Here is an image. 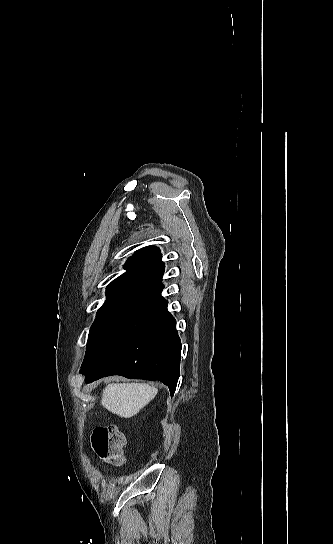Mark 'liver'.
I'll use <instances>...</instances> for the list:
<instances>
[{
    "label": "liver",
    "mask_w": 333,
    "mask_h": 544,
    "mask_svg": "<svg viewBox=\"0 0 333 544\" xmlns=\"http://www.w3.org/2000/svg\"><path fill=\"white\" fill-rule=\"evenodd\" d=\"M157 394V389L144 383L109 384L102 393L104 408L120 416L131 418Z\"/></svg>",
    "instance_id": "1"
}]
</instances>
